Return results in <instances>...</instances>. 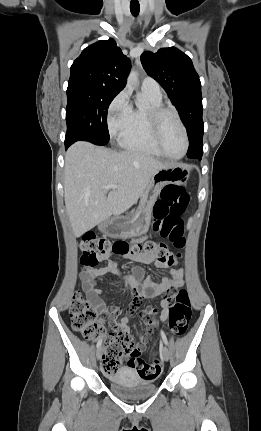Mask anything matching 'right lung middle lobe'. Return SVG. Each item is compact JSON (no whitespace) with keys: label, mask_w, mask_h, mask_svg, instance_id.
Instances as JSON below:
<instances>
[{"label":"right lung middle lobe","mask_w":261,"mask_h":431,"mask_svg":"<svg viewBox=\"0 0 261 431\" xmlns=\"http://www.w3.org/2000/svg\"><path fill=\"white\" fill-rule=\"evenodd\" d=\"M119 91L84 81L69 82L67 88L65 144L78 140L105 145L109 141L107 111Z\"/></svg>","instance_id":"right-lung-middle-lobe-1"}]
</instances>
